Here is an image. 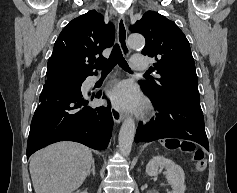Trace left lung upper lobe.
I'll return each instance as SVG.
<instances>
[{
  "label": "left lung upper lobe",
  "mask_w": 237,
  "mask_h": 193,
  "mask_svg": "<svg viewBox=\"0 0 237 193\" xmlns=\"http://www.w3.org/2000/svg\"><path fill=\"white\" fill-rule=\"evenodd\" d=\"M133 33L146 39L142 54L156 60L152 70L160 79L139 81L141 88L155 98L197 97V74L190 45L179 27L165 16L146 12L131 26Z\"/></svg>",
  "instance_id": "left-lung-upper-lobe-1"
}]
</instances>
